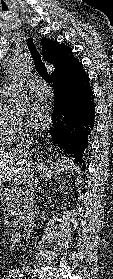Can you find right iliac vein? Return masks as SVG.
<instances>
[{
  "label": "right iliac vein",
  "mask_w": 113,
  "mask_h": 279,
  "mask_svg": "<svg viewBox=\"0 0 113 279\" xmlns=\"http://www.w3.org/2000/svg\"><path fill=\"white\" fill-rule=\"evenodd\" d=\"M23 270L26 271V272H29L30 268L29 267H24Z\"/></svg>",
  "instance_id": "63e3f726"
}]
</instances>
